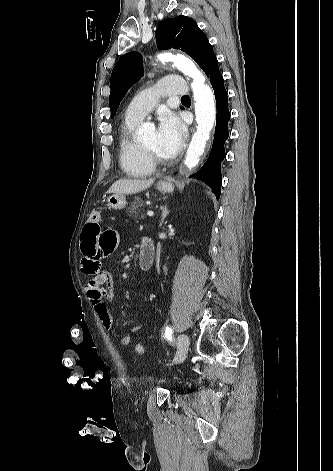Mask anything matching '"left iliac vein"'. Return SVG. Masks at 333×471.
<instances>
[{
    "mask_svg": "<svg viewBox=\"0 0 333 471\" xmlns=\"http://www.w3.org/2000/svg\"><path fill=\"white\" fill-rule=\"evenodd\" d=\"M176 345H177V355L175 358V363H182L186 359L187 353H188V347H189L188 336L186 334H180L177 337Z\"/></svg>",
    "mask_w": 333,
    "mask_h": 471,
    "instance_id": "4c4485c4",
    "label": "left iliac vein"
}]
</instances>
